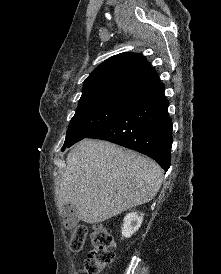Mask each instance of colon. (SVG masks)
Listing matches in <instances>:
<instances>
[{
  "label": "colon",
  "instance_id": "obj_1",
  "mask_svg": "<svg viewBox=\"0 0 221 274\" xmlns=\"http://www.w3.org/2000/svg\"><path fill=\"white\" fill-rule=\"evenodd\" d=\"M87 237V229L82 225L72 228L70 247L73 251H80ZM91 249L85 260L84 268L79 274H100L103 268L114 259L112 247L114 244L113 235L110 230L101 225L93 226L90 233Z\"/></svg>",
  "mask_w": 221,
  "mask_h": 274
}]
</instances>
